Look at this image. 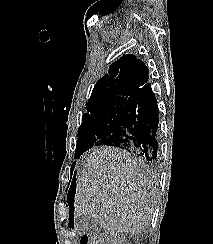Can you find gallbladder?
I'll return each instance as SVG.
<instances>
[{
  "label": "gallbladder",
  "mask_w": 213,
  "mask_h": 244,
  "mask_svg": "<svg viewBox=\"0 0 213 244\" xmlns=\"http://www.w3.org/2000/svg\"><path fill=\"white\" fill-rule=\"evenodd\" d=\"M76 227L80 234H88L93 235L98 231V224L95 223L93 218L90 215H83L76 219L75 221Z\"/></svg>",
  "instance_id": "bac80fb5"
}]
</instances>
